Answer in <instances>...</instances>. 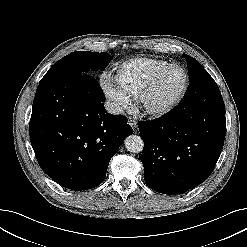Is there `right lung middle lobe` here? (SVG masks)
Masks as SVG:
<instances>
[{"instance_id": "dd1d6c3e", "label": "right lung middle lobe", "mask_w": 247, "mask_h": 247, "mask_svg": "<svg viewBox=\"0 0 247 247\" xmlns=\"http://www.w3.org/2000/svg\"><path fill=\"white\" fill-rule=\"evenodd\" d=\"M110 58L111 56L107 52H72L56 62L43 78H51L57 74L66 72L89 74L93 70L106 67L109 64Z\"/></svg>"}]
</instances>
